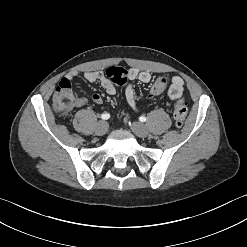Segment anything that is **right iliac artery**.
Listing matches in <instances>:
<instances>
[{"label": "right iliac artery", "instance_id": "right-iliac-artery-1", "mask_svg": "<svg viewBox=\"0 0 247 247\" xmlns=\"http://www.w3.org/2000/svg\"><path fill=\"white\" fill-rule=\"evenodd\" d=\"M101 118H102L103 120H107V119L110 118V114H108V113H103V114L101 115Z\"/></svg>", "mask_w": 247, "mask_h": 247}]
</instances>
